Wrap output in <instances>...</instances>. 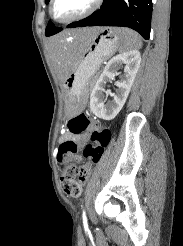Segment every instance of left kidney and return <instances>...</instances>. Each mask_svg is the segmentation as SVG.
<instances>
[{"instance_id":"5707ae66","label":"left kidney","mask_w":183,"mask_h":246,"mask_svg":"<svg viewBox=\"0 0 183 246\" xmlns=\"http://www.w3.org/2000/svg\"><path fill=\"white\" fill-rule=\"evenodd\" d=\"M140 62L141 55L137 50L120 53L108 61L90 96V108L97 117L104 120H112L117 116L129 95ZM123 64H125L124 75L120 81L115 82L117 86L116 94L106 92V95H110L113 100L105 104L103 92H105L106 82L114 80L117 70Z\"/></svg>"}]
</instances>
